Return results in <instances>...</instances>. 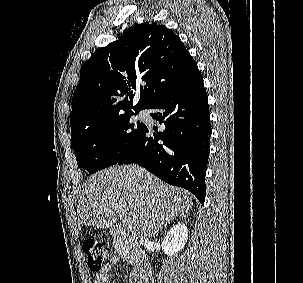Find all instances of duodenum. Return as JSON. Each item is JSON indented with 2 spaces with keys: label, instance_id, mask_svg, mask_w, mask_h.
I'll use <instances>...</instances> for the list:
<instances>
[{
  "label": "duodenum",
  "instance_id": "1",
  "mask_svg": "<svg viewBox=\"0 0 303 283\" xmlns=\"http://www.w3.org/2000/svg\"><path fill=\"white\" fill-rule=\"evenodd\" d=\"M111 234L117 240L124 238L123 228L116 224L111 229ZM135 257L137 261V270H136V283H149L152 276V266L149 258L140 251L135 252Z\"/></svg>",
  "mask_w": 303,
  "mask_h": 283
}]
</instances>
